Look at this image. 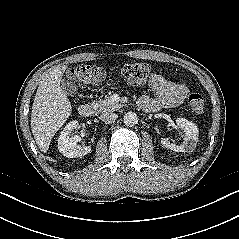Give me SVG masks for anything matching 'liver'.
<instances>
[{
	"mask_svg": "<svg viewBox=\"0 0 239 239\" xmlns=\"http://www.w3.org/2000/svg\"><path fill=\"white\" fill-rule=\"evenodd\" d=\"M67 65L49 69L39 83L31 112V129L42 152H47L55 133L72 113V107L61 87Z\"/></svg>",
	"mask_w": 239,
	"mask_h": 239,
	"instance_id": "6515ba94",
	"label": "liver"
}]
</instances>
